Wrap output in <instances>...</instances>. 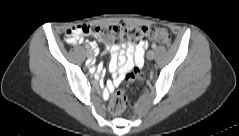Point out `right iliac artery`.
Here are the masks:
<instances>
[{
  "instance_id": "1",
  "label": "right iliac artery",
  "mask_w": 239,
  "mask_h": 136,
  "mask_svg": "<svg viewBox=\"0 0 239 136\" xmlns=\"http://www.w3.org/2000/svg\"><path fill=\"white\" fill-rule=\"evenodd\" d=\"M89 49V46H85V50H88Z\"/></svg>"
}]
</instances>
